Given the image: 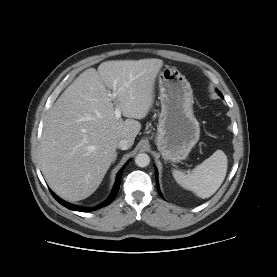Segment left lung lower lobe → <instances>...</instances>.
Returning a JSON list of instances; mask_svg holds the SVG:
<instances>
[{"label": "left lung lower lobe", "instance_id": "1", "mask_svg": "<svg viewBox=\"0 0 277 277\" xmlns=\"http://www.w3.org/2000/svg\"><path fill=\"white\" fill-rule=\"evenodd\" d=\"M156 185H157V191H158L159 195L162 197L161 192L159 190V186H158L157 172H156Z\"/></svg>", "mask_w": 277, "mask_h": 277}]
</instances>
